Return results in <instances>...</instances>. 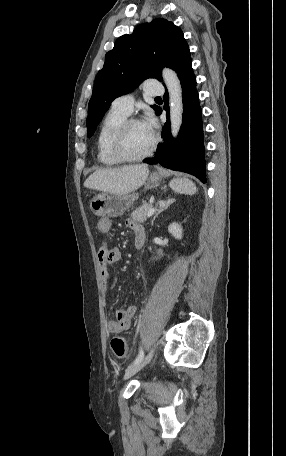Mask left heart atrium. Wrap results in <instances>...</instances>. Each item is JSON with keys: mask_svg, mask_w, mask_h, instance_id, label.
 <instances>
[{"mask_svg": "<svg viewBox=\"0 0 286 456\" xmlns=\"http://www.w3.org/2000/svg\"><path fill=\"white\" fill-rule=\"evenodd\" d=\"M143 124L149 130V132L151 134H153L155 126H156V123H155L154 117L151 114H148V116H147V118H146V120H145V122Z\"/></svg>", "mask_w": 286, "mask_h": 456, "instance_id": "left-heart-atrium-1", "label": "left heart atrium"}]
</instances>
